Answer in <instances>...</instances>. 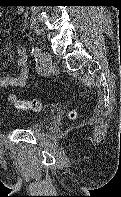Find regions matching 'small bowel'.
I'll return each instance as SVG.
<instances>
[{"mask_svg": "<svg viewBox=\"0 0 121 197\" xmlns=\"http://www.w3.org/2000/svg\"><path fill=\"white\" fill-rule=\"evenodd\" d=\"M1 17V12H0ZM16 64L18 75L10 76L7 74L0 75V87L4 89L23 87L30 76V67L25 49L21 46L16 47Z\"/></svg>", "mask_w": 121, "mask_h": 197, "instance_id": "1", "label": "small bowel"}]
</instances>
